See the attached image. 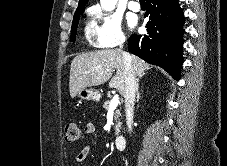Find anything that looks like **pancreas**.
Returning a JSON list of instances; mask_svg holds the SVG:
<instances>
[{
    "label": "pancreas",
    "instance_id": "pancreas-1",
    "mask_svg": "<svg viewBox=\"0 0 227 166\" xmlns=\"http://www.w3.org/2000/svg\"><path fill=\"white\" fill-rule=\"evenodd\" d=\"M111 101L107 100L104 103V109L109 110V105H110ZM115 120H116V125H115V134L118 135L122 126V122L120 121V117H121V113L120 110L117 108L115 110Z\"/></svg>",
    "mask_w": 227,
    "mask_h": 166
}]
</instances>
